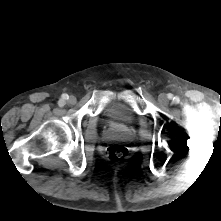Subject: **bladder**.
I'll return each instance as SVG.
<instances>
[{"label":"bladder","instance_id":"bladder-1","mask_svg":"<svg viewBox=\"0 0 221 221\" xmlns=\"http://www.w3.org/2000/svg\"><path fill=\"white\" fill-rule=\"evenodd\" d=\"M103 117L112 128L132 127L137 122L134 111L119 100H113L104 107Z\"/></svg>","mask_w":221,"mask_h":221}]
</instances>
